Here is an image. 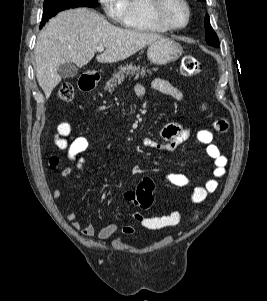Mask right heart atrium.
I'll return each mask as SVG.
<instances>
[{"label": "right heart atrium", "instance_id": "obj_1", "mask_svg": "<svg viewBox=\"0 0 267 301\" xmlns=\"http://www.w3.org/2000/svg\"><path fill=\"white\" fill-rule=\"evenodd\" d=\"M104 13L115 23L123 24L125 0H98Z\"/></svg>", "mask_w": 267, "mask_h": 301}]
</instances>
